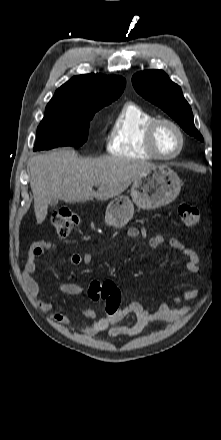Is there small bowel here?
<instances>
[{
    "label": "small bowel",
    "mask_w": 221,
    "mask_h": 440,
    "mask_svg": "<svg viewBox=\"0 0 221 440\" xmlns=\"http://www.w3.org/2000/svg\"><path fill=\"white\" fill-rule=\"evenodd\" d=\"M129 238L147 237V230L145 228L130 227L127 231ZM149 244L156 249L162 245H168L181 253H183L187 261L185 268L192 273L200 271L198 263V255L186 247L179 239L175 237L165 238L162 235H155L150 238ZM58 245L54 242L39 240L34 242L28 252V256L23 268V283L29 295L34 299L39 308L43 312H51L54 309L52 302H45L38 299L39 285L34 279L36 273V261L48 250H57ZM94 256L92 254H73L70 261L75 266H83L92 263ZM90 283L82 285L74 282L62 283L58 286L59 293L69 296H85L88 295ZM197 289L182 290L173 300L172 305L161 304L156 311L147 310L139 301H130L129 303L119 306V315H112L111 320L106 321L102 316H98L95 311L88 308H81V312L85 318L89 320V324L82 327L80 331L86 336H96L103 332H108L111 337L127 336L135 337L140 334L143 329L151 322L164 321L176 322L191 310L189 306H182L183 301L193 300L198 297ZM133 314L135 320L132 323L121 324V321L128 315ZM53 321L57 324L66 325L71 322L70 317L62 312H54L51 315Z\"/></svg>",
    "instance_id": "c3829d8e"
}]
</instances>
